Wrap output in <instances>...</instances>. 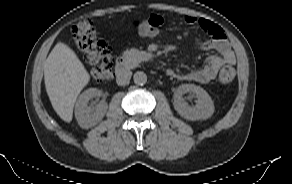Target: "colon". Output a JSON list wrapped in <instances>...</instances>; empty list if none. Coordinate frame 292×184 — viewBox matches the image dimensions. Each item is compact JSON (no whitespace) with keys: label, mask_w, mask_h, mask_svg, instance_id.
Wrapping results in <instances>:
<instances>
[{"label":"colon","mask_w":292,"mask_h":184,"mask_svg":"<svg viewBox=\"0 0 292 184\" xmlns=\"http://www.w3.org/2000/svg\"><path fill=\"white\" fill-rule=\"evenodd\" d=\"M136 25L144 37L155 38L160 33L161 22L153 15ZM72 34L76 47L92 65L91 78L96 82L110 81L113 77L111 50L106 42L97 38L92 22L90 20L78 22L73 27ZM235 75L234 67L226 65L220 70L219 80L222 84H228L233 81Z\"/></svg>","instance_id":"obj_1"}]
</instances>
